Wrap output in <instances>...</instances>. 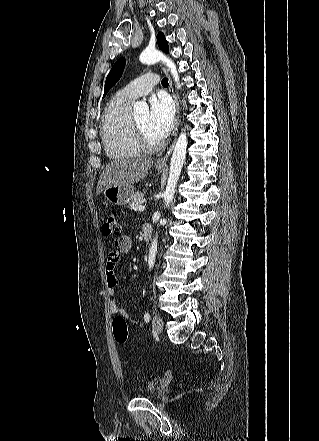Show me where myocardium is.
<instances>
[{
  "label": "myocardium",
  "instance_id": "f54148a6",
  "mask_svg": "<svg viewBox=\"0 0 319 441\" xmlns=\"http://www.w3.org/2000/svg\"><path fill=\"white\" fill-rule=\"evenodd\" d=\"M132 126L134 131V136L136 139V142L143 152H155L162 148L163 142L162 141H150L138 125L137 121L132 118Z\"/></svg>",
  "mask_w": 319,
  "mask_h": 441
}]
</instances>
